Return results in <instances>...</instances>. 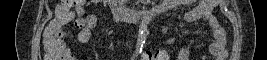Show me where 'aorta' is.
<instances>
[{
    "instance_id": "1",
    "label": "aorta",
    "mask_w": 267,
    "mask_h": 60,
    "mask_svg": "<svg viewBox=\"0 0 267 60\" xmlns=\"http://www.w3.org/2000/svg\"><path fill=\"white\" fill-rule=\"evenodd\" d=\"M147 38V24L142 21L139 25V33L137 38V50L141 49L145 44V40Z\"/></svg>"
}]
</instances>
